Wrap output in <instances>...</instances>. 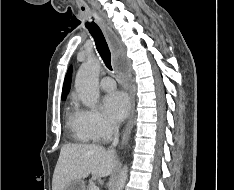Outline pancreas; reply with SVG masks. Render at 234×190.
I'll return each instance as SVG.
<instances>
[{
	"label": "pancreas",
	"instance_id": "pancreas-1",
	"mask_svg": "<svg viewBox=\"0 0 234 190\" xmlns=\"http://www.w3.org/2000/svg\"><path fill=\"white\" fill-rule=\"evenodd\" d=\"M95 186V183L93 182V180L89 181V184L87 186V190H92V187Z\"/></svg>",
	"mask_w": 234,
	"mask_h": 190
}]
</instances>
